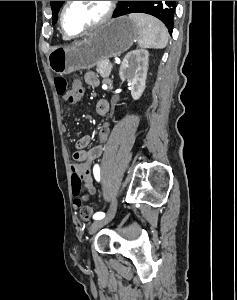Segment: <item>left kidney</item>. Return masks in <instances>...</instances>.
Masks as SVG:
<instances>
[{
	"mask_svg": "<svg viewBox=\"0 0 237 300\" xmlns=\"http://www.w3.org/2000/svg\"><path fill=\"white\" fill-rule=\"evenodd\" d=\"M149 53L145 49H135L127 53L122 61L119 77L130 85L132 99L137 101L144 93L148 71Z\"/></svg>",
	"mask_w": 237,
	"mask_h": 300,
	"instance_id": "1",
	"label": "left kidney"
}]
</instances>
